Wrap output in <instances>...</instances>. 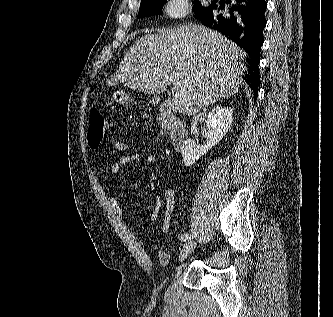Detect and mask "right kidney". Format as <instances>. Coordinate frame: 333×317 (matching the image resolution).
<instances>
[{
	"mask_svg": "<svg viewBox=\"0 0 333 317\" xmlns=\"http://www.w3.org/2000/svg\"><path fill=\"white\" fill-rule=\"evenodd\" d=\"M233 110L230 107L219 106L209 112L206 126L209 130L206 143L197 145L194 140L187 139L182 147V157L185 166L193 165L208 150L223 139L231 127Z\"/></svg>",
	"mask_w": 333,
	"mask_h": 317,
	"instance_id": "obj_1",
	"label": "right kidney"
}]
</instances>
